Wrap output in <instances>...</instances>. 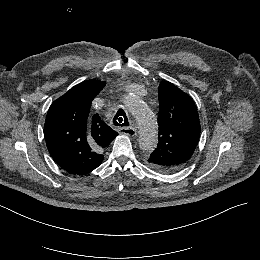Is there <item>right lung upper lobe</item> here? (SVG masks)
<instances>
[{"mask_svg":"<svg viewBox=\"0 0 260 260\" xmlns=\"http://www.w3.org/2000/svg\"><path fill=\"white\" fill-rule=\"evenodd\" d=\"M105 82L84 81L50 106L44 136L51 157L69 173L87 174L97 168L105 148L118 135L99 117L91 115L92 100Z\"/></svg>","mask_w":260,"mask_h":260,"instance_id":"right-lung-upper-lobe-1","label":"right lung upper lobe"}]
</instances>
